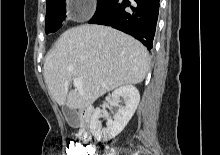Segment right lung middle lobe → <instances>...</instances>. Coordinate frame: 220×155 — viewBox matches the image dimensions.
Listing matches in <instances>:
<instances>
[{"label": "right lung middle lobe", "mask_w": 220, "mask_h": 155, "mask_svg": "<svg viewBox=\"0 0 220 155\" xmlns=\"http://www.w3.org/2000/svg\"><path fill=\"white\" fill-rule=\"evenodd\" d=\"M113 0H98L96 13L108 7ZM66 14L65 0H54L46 4V34L57 31L61 26Z\"/></svg>", "instance_id": "right-lung-middle-lobe-1"}]
</instances>
